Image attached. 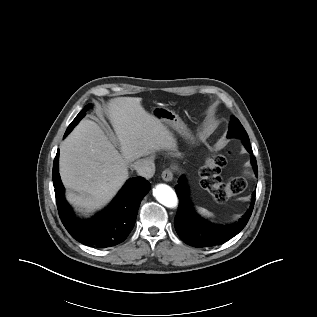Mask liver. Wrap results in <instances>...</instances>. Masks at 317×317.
Instances as JSON below:
<instances>
[{"label": "liver", "instance_id": "1", "mask_svg": "<svg viewBox=\"0 0 317 317\" xmlns=\"http://www.w3.org/2000/svg\"><path fill=\"white\" fill-rule=\"evenodd\" d=\"M141 102L138 97H117L107 103L105 113L121 153L91 120L81 121L61 144L60 176L69 190L67 200L78 209L89 212L107 204L128 179L134 160L159 150H177L176 139Z\"/></svg>", "mask_w": 317, "mask_h": 317}]
</instances>
